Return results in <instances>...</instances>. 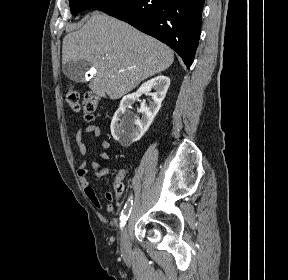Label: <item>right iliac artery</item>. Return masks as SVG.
<instances>
[{
	"label": "right iliac artery",
	"mask_w": 288,
	"mask_h": 280,
	"mask_svg": "<svg viewBox=\"0 0 288 280\" xmlns=\"http://www.w3.org/2000/svg\"><path fill=\"white\" fill-rule=\"evenodd\" d=\"M132 205H133V195L131 194L127 200V202L125 203V206L121 212L120 215V227L121 229L124 227V225L126 224V221L128 220L131 210H132Z\"/></svg>",
	"instance_id": "1"
}]
</instances>
